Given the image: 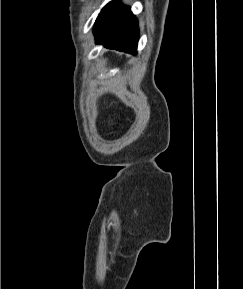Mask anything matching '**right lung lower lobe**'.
I'll list each match as a JSON object with an SVG mask.
<instances>
[{
	"instance_id": "1",
	"label": "right lung lower lobe",
	"mask_w": 243,
	"mask_h": 289,
	"mask_svg": "<svg viewBox=\"0 0 243 289\" xmlns=\"http://www.w3.org/2000/svg\"><path fill=\"white\" fill-rule=\"evenodd\" d=\"M138 30V22L130 8L118 0L102 9L94 26L97 43L127 53H136Z\"/></svg>"
}]
</instances>
